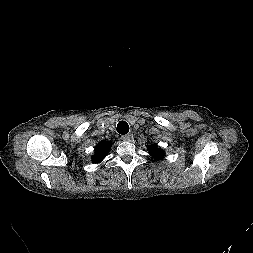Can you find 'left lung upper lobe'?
Segmentation results:
<instances>
[{"mask_svg":"<svg viewBox=\"0 0 253 253\" xmlns=\"http://www.w3.org/2000/svg\"><path fill=\"white\" fill-rule=\"evenodd\" d=\"M149 153L151 156L157 160L162 159L164 156V152L160 150L157 145L149 146Z\"/></svg>","mask_w":253,"mask_h":253,"instance_id":"left-lung-upper-lobe-1","label":"left lung upper lobe"}]
</instances>
